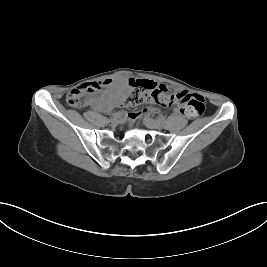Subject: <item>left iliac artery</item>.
Returning <instances> with one entry per match:
<instances>
[{
  "label": "left iliac artery",
  "instance_id": "left-iliac-artery-1",
  "mask_svg": "<svg viewBox=\"0 0 267 267\" xmlns=\"http://www.w3.org/2000/svg\"><path fill=\"white\" fill-rule=\"evenodd\" d=\"M158 119L162 122H165V118L163 116H159Z\"/></svg>",
  "mask_w": 267,
  "mask_h": 267
}]
</instances>
